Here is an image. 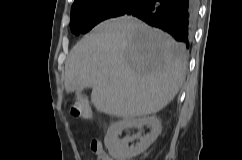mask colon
<instances>
[{
    "label": "colon",
    "instance_id": "colon-1",
    "mask_svg": "<svg viewBox=\"0 0 242 160\" xmlns=\"http://www.w3.org/2000/svg\"><path fill=\"white\" fill-rule=\"evenodd\" d=\"M70 114L76 118L91 120L93 117L92 110L86 97L82 93H75L69 104ZM99 160L101 157L99 156Z\"/></svg>",
    "mask_w": 242,
    "mask_h": 160
}]
</instances>
